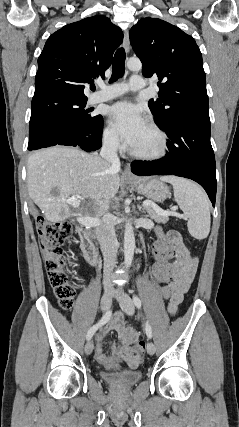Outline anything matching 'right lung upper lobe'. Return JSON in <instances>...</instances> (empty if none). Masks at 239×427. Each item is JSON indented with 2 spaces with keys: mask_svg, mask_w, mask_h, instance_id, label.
I'll return each mask as SVG.
<instances>
[{
  "mask_svg": "<svg viewBox=\"0 0 239 427\" xmlns=\"http://www.w3.org/2000/svg\"><path fill=\"white\" fill-rule=\"evenodd\" d=\"M122 40L121 29L105 16L62 27L48 38L38 58L33 99L52 95L87 99L85 85L104 76Z\"/></svg>",
  "mask_w": 239,
  "mask_h": 427,
  "instance_id": "cb5924a9",
  "label": "right lung upper lobe"
}]
</instances>
